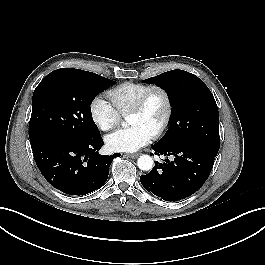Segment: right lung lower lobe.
Wrapping results in <instances>:
<instances>
[{"mask_svg":"<svg viewBox=\"0 0 265 265\" xmlns=\"http://www.w3.org/2000/svg\"><path fill=\"white\" fill-rule=\"evenodd\" d=\"M101 136L87 140L50 141L31 146L36 164L45 179L69 195H85L101 188L110 163L119 156L100 155Z\"/></svg>","mask_w":265,"mask_h":265,"instance_id":"98d812e1","label":"right lung lower lobe"}]
</instances>
